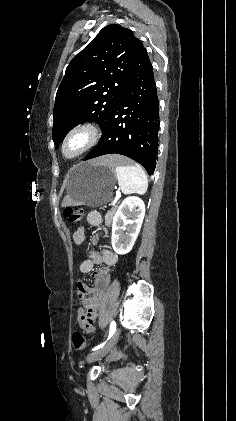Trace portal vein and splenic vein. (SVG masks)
<instances>
[{"label": "portal vein and splenic vein", "mask_w": 236, "mask_h": 421, "mask_svg": "<svg viewBox=\"0 0 236 421\" xmlns=\"http://www.w3.org/2000/svg\"><path fill=\"white\" fill-rule=\"evenodd\" d=\"M120 194H121V192H119V190H117L116 196H115L113 202H111V205H115V202H117L118 198H120Z\"/></svg>", "instance_id": "obj_1"}]
</instances>
